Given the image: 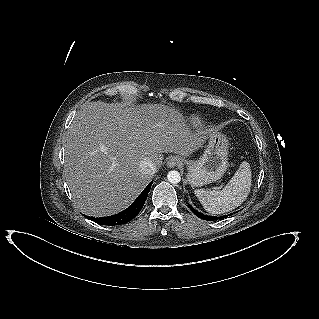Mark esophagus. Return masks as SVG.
<instances>
[{
	"instance_id": "esophagus-1",
	"label": "esophagus",
	"mask_w": 319,
	"mask_h": 319,
	"mask_svg": "<svg viewBox=\"0 0 319 319\" xmlns=\"http://www.w3.org/2000/svg\"><path fill=\"white\" fill-rule=\"evenodd\" d=\"M182 159L179 156H171L167 162V166L169 168H174L181 164Z\"/></svg>"
}]
</instances>
